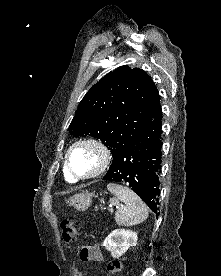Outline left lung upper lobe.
<instances>
[{"mask_svg":"<svg viewBox=\"0 0 221 276\" xmlns=\"http://www.w3.org/2000/svg\"><path fill=\"white\" fill-rule=\"evenodd\" d=\"M160 114V98L151 78L143 70L125 65L106 74L87 92L70 133L100 139L113 156Z\"/></svg>","mask_w":221,"mask_h":276,"instance_id":"1","label":"left lung upper lobe"}]
</instances>
